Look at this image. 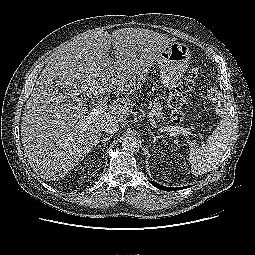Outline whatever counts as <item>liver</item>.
I'll return each instance as SVG.
<instances>
[{"instance_id": "liver-1", "label": "liver", "mask_w": 255, "mask_h": 255, "mask_svg": "<svg viewBox=\"0 0 255 255\" xmlns=\"http://www.w3.org/2000/svg\"><path fill=\"white\" fill-rule=\"evenodd\" d=\"M168 44L166 34L122 28L112 35L90 30L59 48L23 111L21 139L33 171L47 181L63 177L98 144L106 122H124L134 106L129 98L93 116L85 97L136 92ZM111 45L115 59L109 57Z\"/></svg>"}]
</instances>
